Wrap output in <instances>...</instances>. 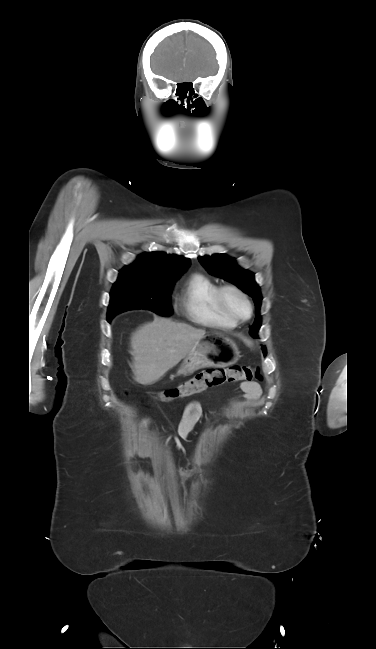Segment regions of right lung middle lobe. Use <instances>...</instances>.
Here are the masks:
<instances>
[{
    "label": "right lung middle lobe",
    "mask_w": 376,
    "mask_h": 649,
    "mask_svg": "<svg viewBox=\"0 0 376 649\" xmlns=\"http://www.w3.org/2000/svg\"><path fill=\"white\" fill-rule=\"evenodd\" d=\"M181 273L184 272L157 276L148 275L132 265L123 268L110 293L108 322L130 309H149L163 316L171 315L170 294Z\"/></svg>",
    "instance_id": "right-lung-middle-lobe-1"
}]
</instances>
